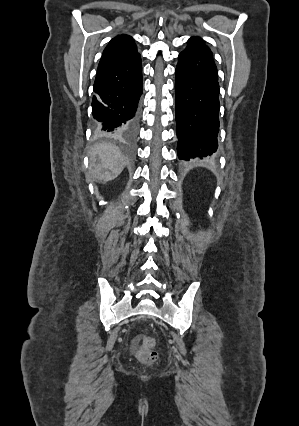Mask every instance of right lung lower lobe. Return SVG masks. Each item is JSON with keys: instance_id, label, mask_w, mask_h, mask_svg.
Masks as SVG:
<instances>
[{"instance_id": "obj_1", "label": "right lung lower lobe", "mask_w": 299, "mask_h": 426, "mask_svg": "<svg viewBox=\"0 0 299 426\" xmlns=\"http://www.w3.org/2000/svg\"><path fill=\"white\" fill-rule=\"evenodd\" d=\"M94 93L92 114L97 130L134 138L142 95L140 55L98 66Z\"/></svg>"}]
</instances>
